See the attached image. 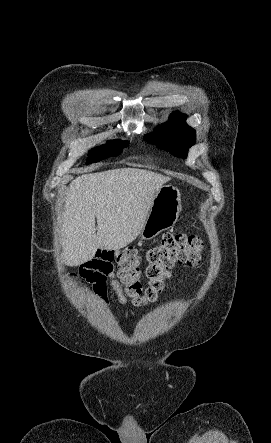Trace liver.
Wrapping results in <instances>:
<instances>
[{
	"instance_id": "1",
	"label": "liver",
	"mask_w": 271,
	"mask_h": 443,
	"mask_svg": "<svg viewBox=\"0 0 271 443\" xmlns=\"http://www.w3.org/2000/svg\"><path fill=\"white\" fill-rule=\"evenodd\" d=\"M169 180L135 168L83 174L72 180L61 222L63 263L81 265L93 259L98 247L129 245L139 235L155 194Z\"/></svg>"
}]
</instances>
